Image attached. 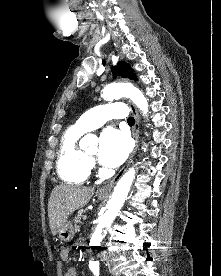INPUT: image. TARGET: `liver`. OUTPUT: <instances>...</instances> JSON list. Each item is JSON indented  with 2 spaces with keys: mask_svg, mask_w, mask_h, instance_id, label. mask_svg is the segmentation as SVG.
Segmentation results:
<instances>
[{
  "mask_svg": "<svg viewBox=\"0 0 221 276\" xmlns=\"http://www.w3.org/2000/svg\"><path fill=\"white\" fill-rule=\"evenodd\" d=\"M94 194V188L62 184L56 186L48 201V216L51 233L55 236L68 217L84 207Z\"/></svg>",
  "mask_w": 221,
  "mask_h": 276,
  "instance_id": "obj_1",
  "label": "liver"
}]
</instances>
